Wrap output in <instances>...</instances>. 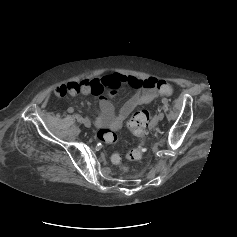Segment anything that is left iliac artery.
Segmentation results:
<instances>
[{"mask_svg":"<svg viewBox=\"0 0 237 237\" xmlns=\"http://www.w3.org/2000/svg\"><path fill=\"white\" fill-rule=\"evenodd\" d=\"M167 102H168V100H167L166 98H163V99H162V103H163V104H166Z\"/></svg>","mask_w":237,"mask_h":237,"instance_id":"44dca946","label":"left iliac artery"}]
</instances>
